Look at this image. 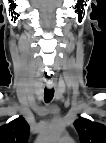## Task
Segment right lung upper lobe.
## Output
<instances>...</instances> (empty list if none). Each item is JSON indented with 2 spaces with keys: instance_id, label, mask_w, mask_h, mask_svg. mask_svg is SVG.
Masks as SVG:
<instances>
[{
  "instance_id": "obj_1",
  "label": "right lung upper lobe",
  "mask_w": 106,
  "mask_h": 143,
  "mask_svg": "<svg viewBox=\"0 0 106 143\" xmlns=\"http://www.w3.org/2000/svg\"><path fill=\"white\" fill-rule=\"evenodd\" d=\"M29 129L26 120L20 116L10 123L0 126V143H27Z\"/></svg>"
}]
</instances>
